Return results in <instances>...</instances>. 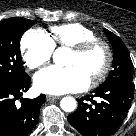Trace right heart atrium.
<instances>
[{
	"label": "right heart atrium",
	"mask_w": 136,
	"mask_h": 136,
	"mask_svg": "<svg viewBox=\"0 0 136 136\" xmlns=\"http://www.w3.org/2000/svg\"><path fill=\"white\" fill-rule=\"evenodd\" d=\"M20 49L24 65L29 69H36L50 60L54 46L41 31L29 30L22 36Z\"/></svg>",
	"instance_id": "obj_1"
}]
</instances>
